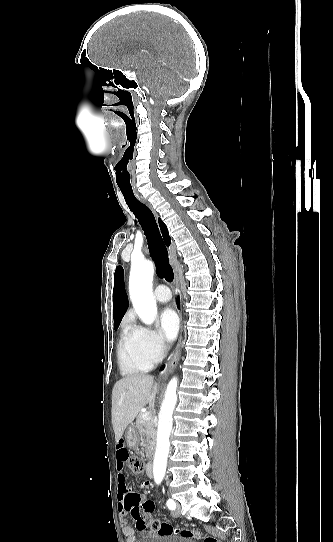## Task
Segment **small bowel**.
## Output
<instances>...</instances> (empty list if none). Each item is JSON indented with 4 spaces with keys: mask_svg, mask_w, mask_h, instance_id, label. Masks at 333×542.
Returning a JSON list of instances; mask_svg holds the SVG:
<instances>
[{
    "mask_svg": "<svg viewBox=\"0 0 333 542\" xmlns=\"http://www.w3.org/2000/svg\"><path fill=\"white\" fill-rule=\"evenodd\" d=\"M128 451L124 446L123 439L120 440L117 448V498H118V511L121 516V525L124 536L126 537V542H135L136 530L130 526L125 520L126 515L130 512L129 508H126L124 505V500L126 497H130V491L127 484V479L123 473L124 466L127 462ZM142 486L144 488L149 487L150 482L145 477L143 479ZM143 498L146 496L144 493L141 495Z\"/></svg>",
    "mask_w": 333,
    "mask_h": 542,
    "instance_id": "obj_1",
    "label": "small bowel"
}]
</instances>
